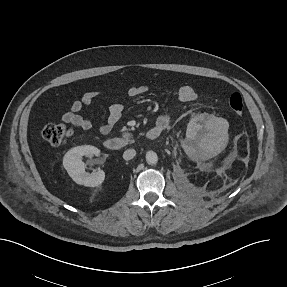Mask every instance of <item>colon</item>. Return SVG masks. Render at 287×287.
<instances>
[{
	"label": "colon",
	"instance_id": "colon-1",
	"mask_svg": "<svg viewBox=\"0 0 287 287\" xmlns=\"http://www.w3.org/2000/svg\"><path fill=\"white\" fill-rule=\"evenodd\" d=\"M229 108L236 115H241L243 113L244 103L239 93H234L230 96ZM71 134V128L63 124H48L43 126L39 131L41 138L53 146L64 145Z\"/></svg>",
	"mask_w": 287,
	"mask_h": 287
}]
</instances>
